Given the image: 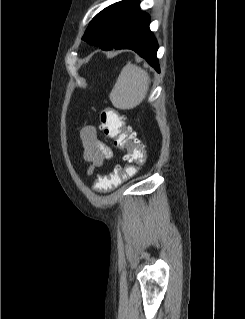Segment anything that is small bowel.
Here are the masks:
<instances>
[{"instance_id":"1","label":"small bowel","mask_w":245,"mask_h":319,"mask_svg":"<svg viewBox=\"0 0 245 319\" xmlns=\"http://www.w3.org/2000/svg\"><path fill=\"white\" fill-rule=\"evenodd\" d=\"M84 146V158L90 164V169L100 167L104 161L112 157V151L98 136L94 126H86L81 132Z\"/></svg>"}]
</instances>
